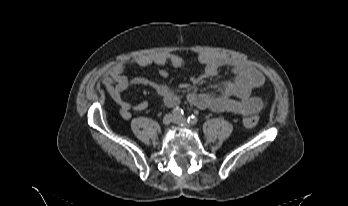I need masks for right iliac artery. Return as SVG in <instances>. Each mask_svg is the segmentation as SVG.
Instances as JSON below:
<instances>
[{"instance_id":"obj_1","label":"right iliac artery","mask_w":348,"mask_h":206,"mask_svg":"<svg viewBox=\"0 0 348 206\" xmlns=\"http://www.w3.org/2000/svg\"><path fill=\"white\" fill-rule=\"evenodd\" d=\"M173 115L176 117V118H181L183 116V110L179 107H176L173 109Z\"/></svg>"}]
</instances>
